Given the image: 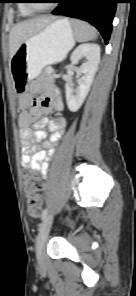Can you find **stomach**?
Returning a JSON list of instances; mask_svg holds the SVG:
<instances>
[{
    "label": "stomach",
    "instance_id": "obj_1",
    "mask_svg": "<svg viewBox=\"0 0 136 296\" xmlns=\"http://www.w3.org/2000/svg\"><path fill=\"white\" fill-rule=\"evenodd\" d=\"M74 43V31L66 18L50 22L24 41L10 62L17 94H27L24 84L39 77L44 67L62 61Z\"/></svg>",
    "mask_w": 136,
    "mask_h": 296
}]
</instances>
